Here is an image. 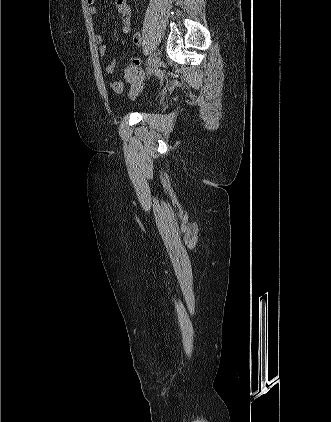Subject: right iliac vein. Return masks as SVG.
<instances>
[{"instance_id": "63e3f726", "label": "right iliac vein", "mask_w": 331, "mask_h": 422, "mask_svg": "<svg viewBox=\"0 0 331 422\" xmlns=\"http://www.w3.org/2000/svg\"><path fill=\"white\" fill-rule=\"evenodd\" d=\"M159 63H160V59H159V57H155L154 59H153V61H152V64L151 65H149V67H148V71H147V74L148 75H152L154 72H156V70L158 69V67H159Z\"/></svg>"}]
</instances>
